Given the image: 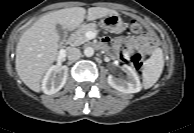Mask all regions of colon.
Returning a JSON list of instances; mask_svg holds the SVG:
<instances>
[{
	"label": "colon",
	"instance_id": "obj_1",
	"mask_svg": "<svg viewBox=\"0 0 194 133\" xmlns=\"http://www.w3.org/2000/svg\"><path fill=\"white\" fill-rule=\"evenodd\" d=\"M130 29L134 33H139L141 32L142 27L136 20H131ZM126 59L131 63V65L133 66V68L135 69L137 73L142 72L143 55L140 53V50L131 53L130 55L127 56Z\"/></svg>",
	"mask_w": 194,
	"mask_h": 133
}]
</instances>
